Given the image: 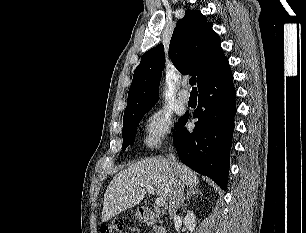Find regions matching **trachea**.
Returning a JSON list of instances; mask_svg holds the SVG:
<instances>
[{
	"mask_svg": "<svg viewBox=\"0 0 306 233\" xmlns=\"http://www.w3.org/2000/svg\"><path fill=\"white\" fill-rule=\"evenodd\" d=\"M191 86L196 84V77H191L189 80ZM192 92H197V89L193 87Z\"/></svg>",
	"mask_w": 306,
	"mask_h": 233,
	"instance_id": "obj_1",
	"label": "trachea"
}]
</instances>
